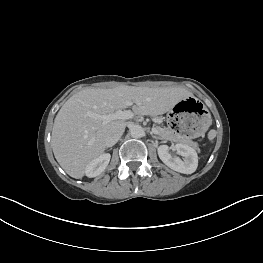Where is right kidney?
<instances>
[{
	"mask_svg": "<svg viewBox=\"0 0 263 263\" xmlns=\"http://www.w3.org/2000/svg\"><path fill=\"white\" fill-rule=\"evenodd\" d=\"M110 154L109 153H104L92 160L85 169V174L89 178L96 177L100 175L106 167L109 164L110 161Z\"/></svg>",
	"mask_w": 263,
	"mask_h": 263,
	"instance_id": "obj_1",
	"label": "right kidney"
}]
</instances>
